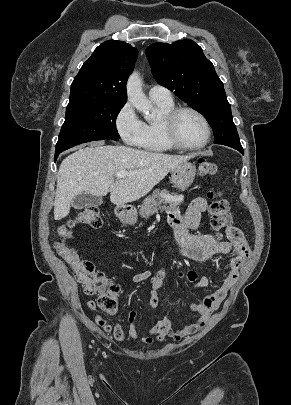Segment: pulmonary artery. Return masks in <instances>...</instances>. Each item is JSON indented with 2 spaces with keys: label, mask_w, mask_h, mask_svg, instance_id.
Here are the masks:
<instances>
[{
  "label": "pulmonary artery",
  "mask_w": 291,
  "mask_h": 405,
  "mask_svg": "<svg viewBox=\"0 0 291 405\" xmlns=\"http://www.w3.org/2000/svg\"><path fill=\"white\" fill-rule=\"evenodd\" d=\"M148 94L153 101H164V102L173 101L170 90L161 85H153L149 89Z\"/></svg>",
  "instance_id": "obj_1"
}]
</instances>
